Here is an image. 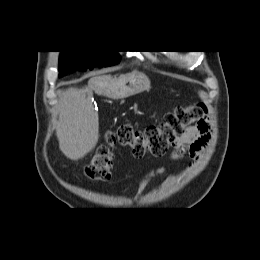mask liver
Wrapping results in <instances>:
<instances>
[{"instance_id":"1","label":"liver","mask_w":260,"mask_h":260,"mask_svg":"<svg viewBox=\"0 0 260 260\" xmlns=\"http://www.w3.org/2000/svg\"><path fill=\"white\" fill-rule=\"evenodd\" d=\"M117 80L110 75H99L90 79L89 87L82 90L69 88L63 93L57 106L56 135L59 148L67 158L77 161L95 148L99 119L92 102L93 91L111 98Z\"/></svg>"}]
</instances>
